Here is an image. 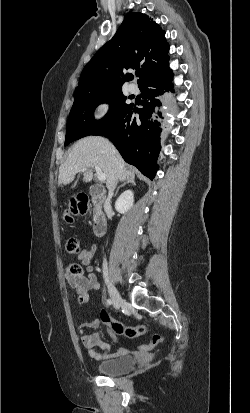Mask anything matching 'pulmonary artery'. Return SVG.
<instances>
[{"mask_svg": "<svg viewBox=\"0 0 250 413\" xmlns=\"http://www.w3.org/2000/svg\"><path fill=\"white\" fill-rule=\"evenodd\" d=\"M128 89H129V91H130L131 93H137V92H138V87H137V85L134 84V83H131V84L128 86Z\"/></svg>", "mask_w": 250, "mask_h": 413, "instance_id": "pulmonary-artery-1", "label": "pulmonary artery"}]
</instances>
